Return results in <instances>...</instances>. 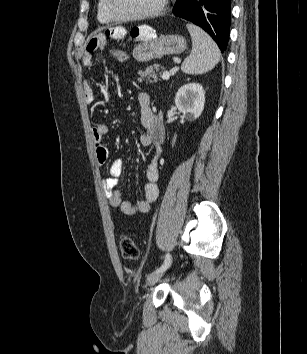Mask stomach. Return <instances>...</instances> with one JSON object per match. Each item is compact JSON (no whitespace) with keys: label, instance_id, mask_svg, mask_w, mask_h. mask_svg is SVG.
I'll return each mask as SVG.
<instances>
[{"label":"stomach","instance_id":"obj_1","mask_svg":"<svg viewBox=\"0 0 307 354\" xmlns=\"http://www.w3.org/2000/svg\"><path fill=\"white\" fill-rule=\"evenodd\" d=\"M133 38L139 41L133 57L139 62H148L166 55H176L186 49V40L178 34L155 36V30L148 25L133 28Z\"/></svg>","mask_w":307,"mask_h":354}]
</instances>
